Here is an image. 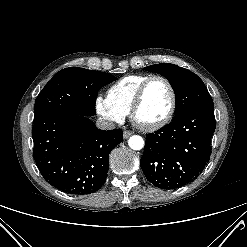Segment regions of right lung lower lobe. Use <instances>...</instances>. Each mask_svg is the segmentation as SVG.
<instances>
[{
	"mask_svg": "<svg viewBox=\"0 0 247 247\" xmlns=\"http://www.w3.org/2000/svg\"><path fill=\"white\" fill-rule=\"evenodd\" d=\"M122 140V130H100L89 116L52 112L34 119L33 158L52 186L85 195L104 184L109 153Z\"/></svg>",
	"mask_w": 247,
	"mask_h": 247,
	"instance_id": "right-lung-lower-lobe-1",
	"label": "right lung lower lobe"
}]
</instances>
